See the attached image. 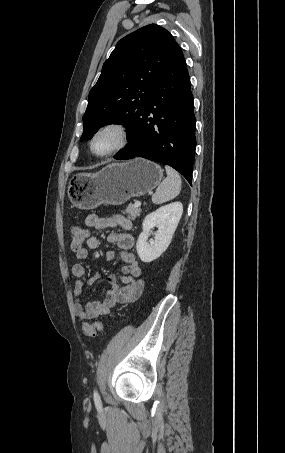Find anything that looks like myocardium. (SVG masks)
Listing matches in <instances>:
<instances>
[{
	"instance_id": "f54148a6",
	"label": "myocardium",
	"mask_w": 285,
	"mask_h": 453,
	"mask_svg": "<svg viewBox=\"0 0 285 453\" xmlns=\"http://www.w3.org/2000/svg\"><path fill=\"white\" fill-rule=\"evenodd\" d=\"M107 131H113L117 134L118 143L114 148H112L108 152L99 154L94 150V141L100 134L107 132ZM129 142H130V130H129L128 126L125 125L124 123L113 121V122H107V123L99 126L94 131V133L92 134L90 141H89V148H90L91 153L94 156L99 157V158H107V157L113 156V155L119 153L120 151H122L123 149H125L128 146Z\"/></svg>"
}]
</instances>
